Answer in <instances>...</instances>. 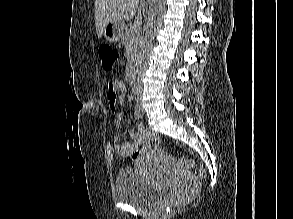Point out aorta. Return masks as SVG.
I'll list each match as a JSON object with an SVG mask.
<instances>
[{"label": "aorta", "instance_id": "762f6f07", "mask_svg": "<svg viewBox=\"0 0 293 219\" xmlns=\"http://www.w3.org/2000/svg\"><path fill=\"white\" fill-rule=\"evenodd\" d=\"M165 13V0H152L151 2V14L148 19L147 31L143 39L141 50L139 53V59L136 64V81L140 82L143 70L147 64L149 54L154 42L155 33L157 28L162 22Z\"/></svg>", "mask_w": 293, "mask_h": 219}]
</instances>
